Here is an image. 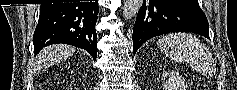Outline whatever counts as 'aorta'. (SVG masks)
<instances>
[{"label": "aorta", "mask_w": 237, "mask_h": 90, "mask_svg": "<svg viewBox=\"0 0 237 90\" xmlns=\"http://www.w3.org/2000/svg\"><path fill=\"white\" fill-rule=\"evenodd\" d=\"M142 4L143 0H124L122 8L124 20H132L134 16H137Z\"/></svg>", "instance_id": "1"}]
</instances>
